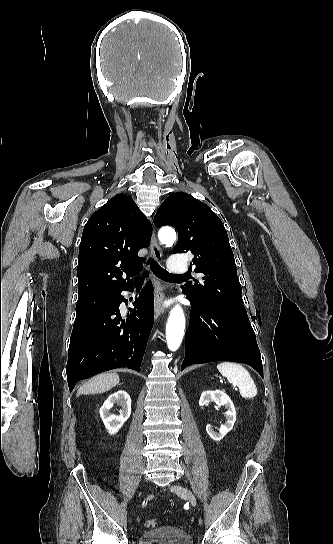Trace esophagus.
<instances>
[{"label":"esophagus","instance_id":"esophagus-1","mask_svg":"<svg viewBox=\"0 0 333 544\" xmlns=\"http://www.w3.org/2000/svg\"><path fill=\"white\" fill-rule=\"evenodd\" d=\"M150 251L152 257L159 261L162 258V249L157 241L156 235L153 232L150 242ZM154 287H155V303H154V317L158 319L164 312L163 302L165 300V288L161 282L153 275Z\"/></svg>","mask_w":333,"mask_h":544}]
</instances>
